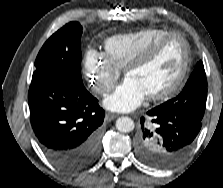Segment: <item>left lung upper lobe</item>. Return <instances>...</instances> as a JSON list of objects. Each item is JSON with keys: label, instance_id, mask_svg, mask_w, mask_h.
I'll list each match as a JSON object with an SVG mask.
<instances>
[{"label": "left lung upper lobe", "instance_id": "obj_1", "mask_svg": "<svg viewBox=\"0 0 223 188\" xmlns=\"http://www.w3.org/2000/svg\"><path fill=\"white\" fill-rule=\"evenodd\" d=\"M207 99V79L202 61L198 62L182 92L161 104L159 109L170 115L202 120Z\"/></svg>", "mask_w": 223, "mask_h": 188}]
</instances>
